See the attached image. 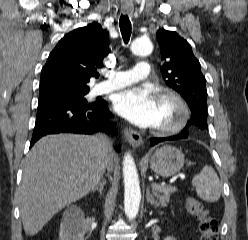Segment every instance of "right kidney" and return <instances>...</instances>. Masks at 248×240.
I'll return each mask as SVG.
<instances>
[{"label":"right kidney","instance_id":"1","mask_svg":"<svg viewBox=\"0 0 248 240\" xmlns=\"http://www.w3.org/2000/svg\"><path fill=\"white\" fill-rule=\"evenodd\" d=\"M86 228L82 223L63 220L60 225L59 240H85Z\"/></svg>","mask_w":248,"mask_h":240}]
</instances>
